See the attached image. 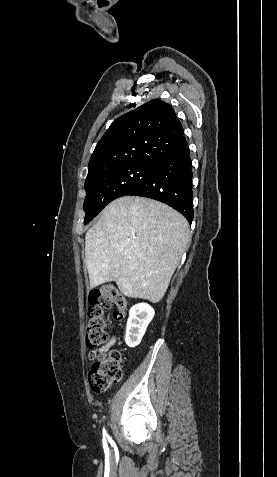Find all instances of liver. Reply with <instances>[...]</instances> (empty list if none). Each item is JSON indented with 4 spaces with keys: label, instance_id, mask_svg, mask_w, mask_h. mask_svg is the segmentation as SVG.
<instances>
[{
    "label": "liver",
    "instance_id": "obj_1",
    "mask_svg": "<svg viewBox=\"0 0 277 477\" xmlns=\"http://www.w3.org/2000/svg\"><path fill=\"white\" fill-rule=\"evenodd\" d=\"M189 238L187 220L170 206L135 196L114 200L85 236L90 288L115 281L127 297L159 302Z\"/></svg>",
    "mask_w": 277,
    "mask_h": 477
}]
</instances>
